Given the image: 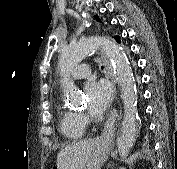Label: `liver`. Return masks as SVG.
<instances>
[{
	"label": "liver",
	"mask_w": 177,
	"mask_h": 169,
	"mask_svg": "<svg viewBox=\"0 0 177 169\" xmlns=\"http://www.w3.org/2000/svg\"><path fill=\"white\" fill-rule=\"evenodd\" d=\"M98 143L89 139L66 146L57 155V169H84Z\"/></svg>",
	"instance_id": "1"
}]
</instances>
